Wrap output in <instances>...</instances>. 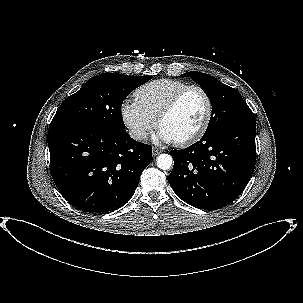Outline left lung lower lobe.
<instances>
[{"label":"left lung lower lobe","mask_w":303,"mask_h":303,"mask_svg":"<svg viewBox=\"0 0 303 303\" xmlns=\"http://www.w3.org/2000/svg\"><path fill=\"white\" fill-rule=\"evenodd\" d=\"M256 123L248 122L204 134L185 150L170 151L168 176L176 195L193 207L214 210L234 201L255 167Z\"/></svg>","instance_id":"0a47b994"}]
</instances>
